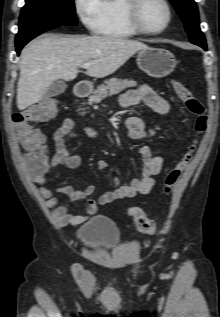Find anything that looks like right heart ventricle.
Here are the masks:
<instances>
[{
    "label": "right heart ventricle",
    "mask_w": 220,
    "mask_h": 317,
    "mask_svg": "<svg viewBox=\"0 0 220 317\" xmlns=\"http://www.w3.org/2000/svg\"><path fill=\"white\" fill-rule=\"evenodd\" d=\"M127 0H100L97 32L111 38H129L138 35L130 25L125 5Z\"/></svg>",
    "instance_id": "1"
}]
</instances>
